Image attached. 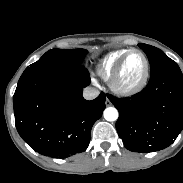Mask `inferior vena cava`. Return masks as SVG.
<instances>
[{
    "mask_svg": "<svg viewBox=\"0 0 183 183\" xmlns=\"http://www.w3.org/2000/svg\"><path fill=\"white\" fill-rule=\"evenodd\" d=\"M99 95V90L93 87H86L83 91V97L86 100L95 99Z\"/></svg>",
    "mask_w": 183,
    "mask_h": 183,
    "instance_id": "inferior-vena-cava-1",
    "label": "inferior vena cava"
}]
</instances>
